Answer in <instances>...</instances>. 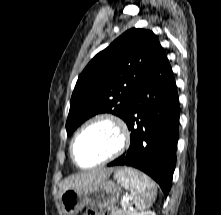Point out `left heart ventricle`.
<instances>
[{
	"mask_svg": "<svg viewBox=\"0 0 221 215\" xmlns=\"http://www.w3.org/2000/svg\"><path fill=\"white\" fill-rule=\"evenodd\" d=\"M118 140V134L111 125H92L76 140L74 153L77 162L88 166L100 161L115 150Z\"/></svg>",
	"mask_w": 221,
	"mask_h": 215,
	"instance_id": "left-heart-ventricle-1",
	"label": "left heart ventricle"
}]
</instances>
